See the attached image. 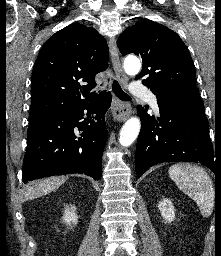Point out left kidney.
Listing matches in <instances>:
<instances>
[{
	"label": "left kidney",
	"mask_w": 221,
	"mask_h": 256,
	"mask_svg": "<svg viewBox=\"0 0 221 256\" xmlns=\"http://www.w3.org/2000/svg\"><path fill=\"white\" fill-rule=\"evenodd\" d=\"M158 208L160 213L165 220L166 223H171L175 219V211L172 202L164 198L162 201L159 202Z\"/></svg>",
	"instance_id": "1"
}]
</instances>
